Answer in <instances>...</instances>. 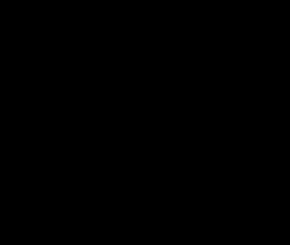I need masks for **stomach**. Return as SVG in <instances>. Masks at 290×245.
Here are the masks:
<instances>
[{"instance_id":"0dacf381","label":"stomach","mask_w":290,"mask_h":245,"mask_svg":"<svg viewBox=\"0 0 290 245\" xmlns=\"http://www.w3.org/2000/svg\"><path fill=\"white\" fill-rule=\"evenodd\" d=\"M150 15L149 12L126 11L117 15L116 24L143 46L144 34L153 25L172 22L171 19L161 20ZM179 42L178 36L172 37L168 42L156 37L150 41L151 52H143V59L153 75L163 84L168 97L172 98L178 106L187 107L199 99L200 90L196 76L186 73L190 63L194 62L192 54L182 49Z\"/></svg>"}]
</instances>
